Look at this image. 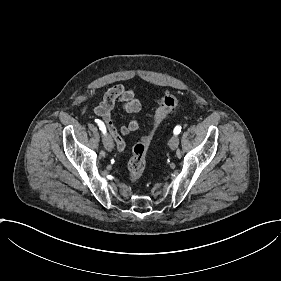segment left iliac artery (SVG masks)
Listing matches in <instances>:
<instances>
[{
  "mask_svg": "<svg viewBox=\"0 0 281 281\" xmlns=\"http://www.w3.org/2000/svg\"><path fill=\"white\" fill-rule=\"evenodd\" d=\"M181 132V126H176L174 129V134L178 135Z\"/></svg>",
  "mask_w": 281,
  "mask_h": 281,
  "instance_id": "1",
  "label": "left iliac artery"
}]
</instances>
